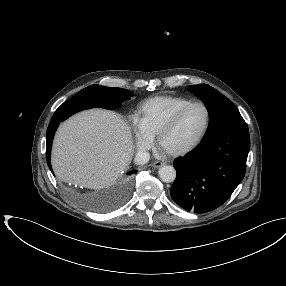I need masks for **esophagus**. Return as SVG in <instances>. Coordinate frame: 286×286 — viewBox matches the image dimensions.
<instances>
[{
	"mask_svg": "<svg viewBox=\"0 0 286 286\" xmlns=\"http://www.w3.org/2000/svg\"><path fill=\"white\" fill-rule=\"evenodd\" d=\"M165 164H166V163L163 162V161H155V162L152 163V166H153L154 168H159V167H161V166H164Z\"/></svg>",
	"mask_w": 286,
	"mask_h": 286,
	"instance_id": "obj_1",
	"label": "esophagus"
}]
</instances>
